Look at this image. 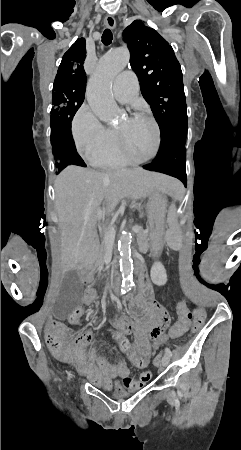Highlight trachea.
<instances>
[{
	"instance_id": "trachea-1",
	"label": "trachea",
	"mask_w": 241,
	"mask_h": 450,
	"mask_svg": "<svg viewBox=\"0 0 241 450\" xmlns=\"http://www.w3.org/2000/svg\"><path fill=\"white\" fill-rule=\"evenodd\" d=\"M113 40V35L111 30H109V28H106V30H104L103 34H102V43L104 45H110V43H112Z\"/></svg>"
}]
</instances>
